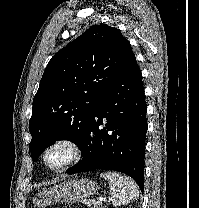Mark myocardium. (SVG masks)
Listing matches in <instances>:
<instances>
[{
    "label": "myocardium",
    "mask_w": 199,
    "mask_h": 208,
    "mask_svg": "<svg viewBox=\"0 0 199 208\" xmlns=\"http://www.w3.org/2000/svg\"><path fill=\"white\" fill-rule=\"evenodd\" d=\"M57 146H66L70 150V158L57 166H51L47 162V155L51 149ZM83 156L81 144L72 137L62 136L50 141L42 152V161L45 167L53 172H62L78 163Z\"/></svg>",
    "instance_id": "1"
}]
</instances>
